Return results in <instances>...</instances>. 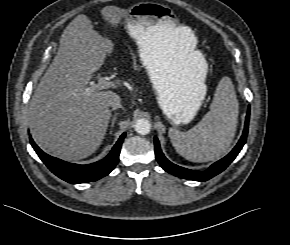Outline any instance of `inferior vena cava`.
I'll return each mask as SVG.
<instances>
[{
  "instance_id": "602c4592",
  "label": "inferior vena cava",
  "mask_w": 290,
  "mask_h": 245,
  "mask_svg": "<svg viewBox=\"0 0 290 245\" xmlns=\"http://www.w3.org/2000/svg\"><path fill=\"white\" fill-rule=\"evenodd\" d=\"M110 106L112 107L113 110H116L118 108H122L121 101L119 98L114 99L111 103Z\"/></svg>"
}]
</instances>
